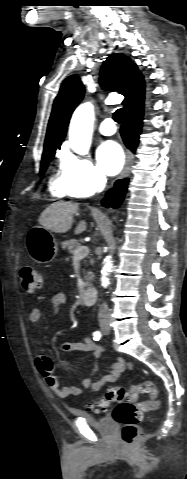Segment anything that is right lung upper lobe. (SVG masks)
<instances>
[{
    "mask_svg": "<svg viewBox=\"0 0 187 479\" xmlns=\"http://www.w3.org/2000/svg\"><path fill=\"white\" fill-rule=\"evenodd\" d=\"M100 85L106 90H116L125 96V111L141 107L145 101V82L141 72L129 57L117 53L111 55L101 68ZM84 87L77 75L63 82L56 97L44 144V152L57 150L63 141L71 114L81 102Z\"/></svg>",
    "mask_w": 187,
    "mask_h": 479,
    "instance_id": "1",
    "label": "right lung upper lobe"
}]
</instances>
